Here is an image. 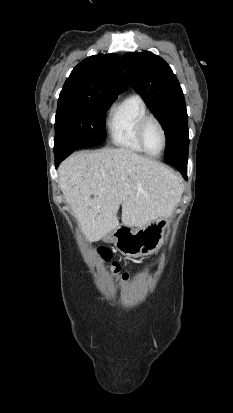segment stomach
Instances as JSON below:
<instances>
[{"instance_id": "obj_1", "label": "stomach", "mask_w": 233, "mask_h": 413, "mask_svg": "<svg viewBox=\"0 0 233 413\" xmlns=\"http://www.w3.org/2000/svg\"><path fill=\"white\" fill-rule=\"evenodd\" d=\"M168 224V218L163 217L137 229L121 225L104 236L103 241L114 243L128 257L150 255L162 245Z\"/></svg>"}]
</instances>
